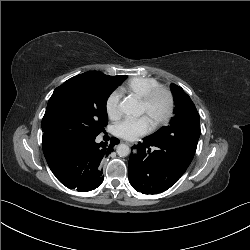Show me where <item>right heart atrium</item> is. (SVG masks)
<instances>
[{"mask_svg":"<svg viewBox=\"0 0 250 250\" xmlns=\"http://www.w3.org/2000/svg\"><path fill=\"white\" fill-rule=\"evenodd\" d=\"M120 93L115 90L112 91L105 101V110L109 118L116 119L120 116L119 109Z\"/></svg>","mask_w":250,"mask_h":250,"instance_id":"right-heart-atrium-1","label":"right heart atrium"}]
</instances>
